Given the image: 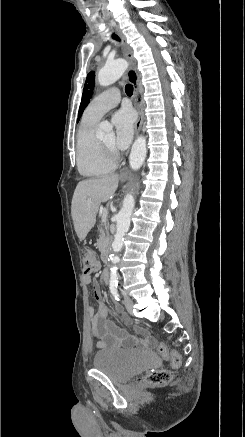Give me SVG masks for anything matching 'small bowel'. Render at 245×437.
<instances>
[{
    "label": "small bowel",
    "mask_w": 245,
    "mask_h": 437,
    "mask_svg": "<svg viewBox=\"0 0 245 437\" xmlns=\"http://www.w3.org/2000/svg\"><path fill=\"white\" fill-rule=\"evenodd\" d=\"M84 281L87 284L91 282L94 283V295L97 301V308L91 318V332L92 335L98 339L97 346L99 348L114 346L130 349L134 347H148L152 344V339L143 329H137L140 337H136L130 335L126 330L111 321L108 318L110 311L103 301V292L99 284L90 276H85ZM113 313L120 315L124 323H129L130 319L123 314L118 304H115Z\"/></svg>",
    "instance_id": "1"
}]
</instances>
